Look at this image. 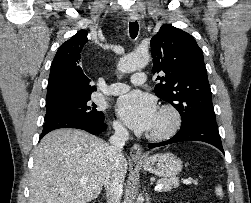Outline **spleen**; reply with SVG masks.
Segmentation results:
<instances>
[{
    "label": "spleen",
    "mask_w": 251,
    "mask_h": 203,
    "mask_svg": "<svg viewBox=\"0 0 251 203\" xmlns=\"http://www.w3.org/2000/svg\"><path fill=\"white\" fill-rule=\"evenodd\" d=\"M216 194L218 195V196H220V197H222L223 196V190H222V188H221V186H218V187H216Z\"/></svg>",
    "instance_id": "1"
}]
</instances>
